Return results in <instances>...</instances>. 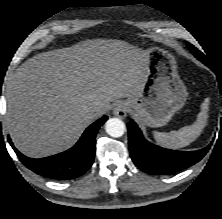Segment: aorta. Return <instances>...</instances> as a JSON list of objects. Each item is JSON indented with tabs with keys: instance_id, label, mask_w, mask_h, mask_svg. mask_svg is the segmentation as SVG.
<instances>
[{
	"instance_id": "obj_1",
	"label": "aorta",
	"mask_w": 222,
	"mask_h": 219,
	"mask_svg": "<svg viewBox=\"0 0 222 219\" xmlns=\"http://www.w3.org/2000/svg\"><path fill=\"white\" fill-rule=\"evenodd\" d=\"M105 130L111 137H121L126 130L125 124L119 118H110L105 123Z\"/></svg>"
}]
</instances>
